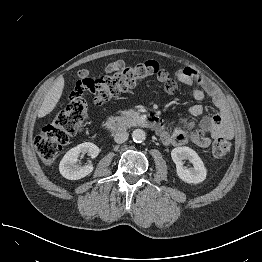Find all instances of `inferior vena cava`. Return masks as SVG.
<instances>
[{"label": "inferior vena cava", "mask_w": 262, "mask_h": 262, "mask_svg": "<svg viewBox=\"0 0 262 262\" xmlns=\"http://www.w3.org/2000/svg\"><path fill=\"white\" fill-rule=\"evenodd\" d=\"M128 132L126 131H119L114 136V141L116 143H124L128 139Z\"/></svg>", "instance_id": "602c4592"}]
</instances>
